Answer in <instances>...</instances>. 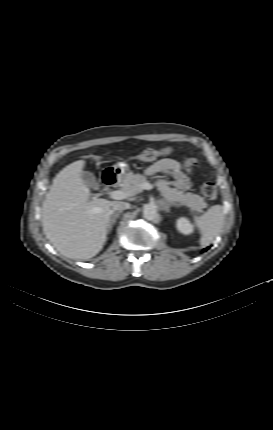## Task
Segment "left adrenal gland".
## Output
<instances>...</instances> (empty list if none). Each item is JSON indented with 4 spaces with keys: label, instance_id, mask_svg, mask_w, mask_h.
I'll return each instance as SVG.
<instances>
[{
    "label": "left adrenal gland",
    "instance_id": "left-adrenal-gland-1",
    "mask_svg": "<svg viewBox=\"0 0 273 430\" xmlns=\"http://www.w3.org/2000/svg\"><path fill=\"white\" fill-rule=\"evenodd\" d=\"M159 203H160L162 210H164L166 213L170 212V207L173 205L172 203H168L164 200H160Z\"/></svg>",
    "mask_w": 273,
    "mask_h": 430
}]
</instances>
